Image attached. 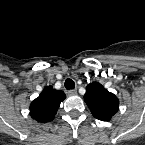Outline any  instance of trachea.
I'll use <instances>...</instances> for the list:
<instances>
[{
    "label": "trachea",
    "instance_id": "1",
    "mask_svg": "<svg viewBox=\"0 0 145 145\" xmlns=\"http://www.w3.org/2000/svg\"><path fill=\"white\" fill-rule=\"evenodd\" d=\"M65 88L68 90L74 89L75 88V83L72 79L68 78L65 80Z\"/></svg>",
    "mask_w": 145,
    "mask_h": 145
}]
</instances>
